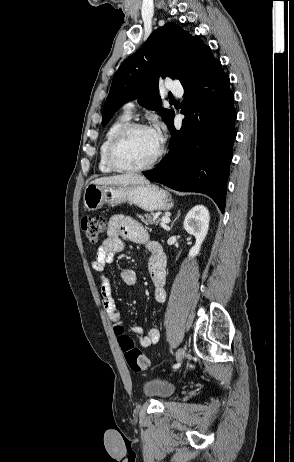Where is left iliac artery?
<instances>
[{"label":"left iliac artery","instance_id":"44dca946","mask_svg":"<svg viewBox=\"0 0 294 462\" xmlns=\"http://www.w3.org/2000/svg\"><path fill=\"white\" fill-rule=\"evenodd\" d=\"M170 347H171V346H170ZM169 350H170V349H169ZM171 352H172V351H171ZM171 357H172V358H175V357H176V354H175V353H171ZM179 367H180V364H175V365L173 366V368H175V369H176V368H179Z\"/></svg>","mask_w":294,"mask_h":462}]
</instances>
